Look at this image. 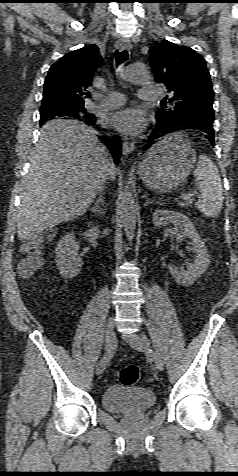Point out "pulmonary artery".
Here are the masks:
<instances>
[{
	"mask_svg": "<svg viewBox=\"0 0 238 476\" xmlns=\"http://www.w3.org/2000/svg\"><path fill=\"white\" fill-rule=\"evenodd\" d=\"M163 97V92L160 87L155 85L144 86L141 89L140 98L144 101H157ZM125 102V95L118 91H112L107 96L101 97L98 107L105 109H112L123 105Z\"/></svg>",
	"mask_w": 238,
	"mask_h": 476,
	"instance_id": "obj_1",
	"label": "pulmonary artery"
}]
</instances>
